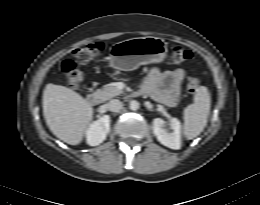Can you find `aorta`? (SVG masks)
I'll return each mask as SVG.
<instances>
[{"instance_id": "obj_1", "label": "aorta", "mask_w": 260, "mask_h": 205, "mask_svg": "<svg viewBox=\"0 0 260 205\" xmlns=\"http://www.w3.org/2000/svg\"><path fill=\"white\" fill-rule=\"evenodd\" d=\"M129 107H130L131 110L136 111V110L139 109L140 104H139L138 101L132 100V101L130 102V106H129Z\"/></svg>"}]
</instances>
